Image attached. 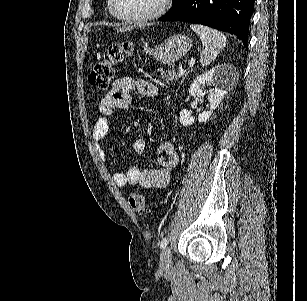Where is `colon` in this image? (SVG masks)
I'll return each instance as SVG.
<instances>
[{
  "label": "colon",
  "mask_w": 307,
  "mask_h": 301,
  "mask_svg": "<svg viewBox=\"0 0 307 301\" xmlns=\"http://www.w3.org/2000/svg\"><path fill=\"white\" fill-rule=\"evenodd\" d=\"M132 51L133 45L130 42L110 45L103 58L91 70L88 77L89 84L98 90L107 89L114 78L115 66L130 56ZM128 200L135 212L139 214L147 212V201L142 193L133 191L129 194Z\"/></svg>",
  "instance_id": "1"
}]
</instances>
